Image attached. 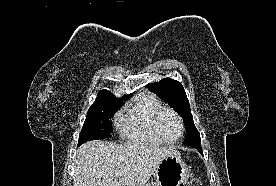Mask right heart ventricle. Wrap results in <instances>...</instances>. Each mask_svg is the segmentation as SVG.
Masks as SVG:
<instances>
[{"label":"right heart ventricle","mask_w":276,"mask_h":186,"mask_svg":"<svg viewBox=\"0 0 276 186\" xmlns=\"http://www.w3.org/2000/svg\"><path fill=\"white\" fill-rule=\"evenodd\" d=\"M164 107L161 101L152 94H145L135 101L120 118L121 133L128 140L149 145H162L155 135L152 120L155 113Z\"/></svg>","instance_id":"e07e8e85"}]
</instances>
